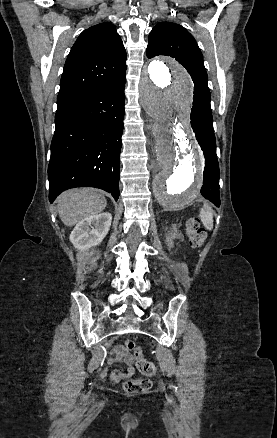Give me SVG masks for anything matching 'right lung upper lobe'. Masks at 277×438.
Instances as JSON below:
<instances>
[{"instance_id": "right-lung-upper-lobe-1", "label": "right lung upper lobe", "mask_w": 277, "mask_h": 438, "mask_svg": "<svg viewBox=\"0 0 277 438\" xmlns=\"http://www.w3.org/2000/svg\"><path fill=\"white\" fill-rule=\"evenodd\" d=\"M125 62L126 51L114 25L104 22L84 30L67 57L57 104L119 79L126 73ZM104 63L110 68L97 69Z\"/></svg>"}]
</instances>
